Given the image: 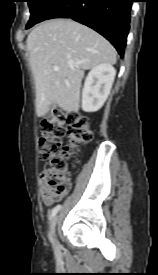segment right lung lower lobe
Masks as SVG:
<instances>
[{"label": "right lung lower lobe", "instance_id": "98d812e1", "mask_svg": "<svg viewBox=\"0 0 158 275\" xmlns=\"http://www.w3.org/2000/svg\"><path fill=\"white\" fill-rule=\"evenodd\" d=\"M132 1L56 0L39 22L52 18H71L100 33L123 56L130 27Z\"/></svg>", "mask_w": 158, "mask_h": 275}]
</instances>
